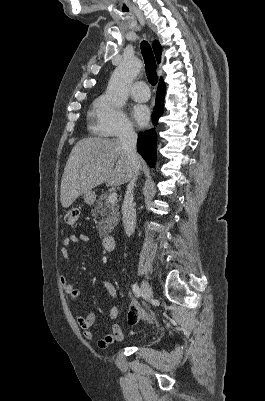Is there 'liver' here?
<instances>
[{"mask_svg": "<svg viewBox=\"0 0 265 401\" xmlns=\"http://www.w3.org/2000/svg\"><path fill=\"white\" fill-rule=\"evenodd\" d=\"M130 176V162L119 138H81L73 146L64 168L62 207L67 209L80 194L102 182H106L107 186H118L128 182Z\"/></svg>", "mask_w": 265, "mask_h": 401, "instance_id": "6515ba94", "label": "liver"}]
</instances>
